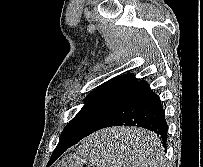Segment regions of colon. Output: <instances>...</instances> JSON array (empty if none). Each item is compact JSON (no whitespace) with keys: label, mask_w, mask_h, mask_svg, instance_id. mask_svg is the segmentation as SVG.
Here are the masks:
<instances>
[{"label":"colon","mask_w":203,"mask_h":167,"mask_svg":"<svg viewBox=\"0 0 203 167\" xmlns=\"http://www.w3.org/2000/svg\"><path fill=\"white\" fill-rule=\"evenodd\" d=\"M57 167H94L73 154L67 155Z\"/></svg>","instance_id":"obj_1"}]
</instances>
